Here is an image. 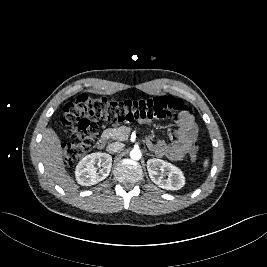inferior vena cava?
<instances>
[{"label": "inferior vena cava", "instance_id": "1", "mask_svg": "<svg viewBox=\"0 0 267 267\" xmlns=\"http://www.w3.org/2000/svg\"><path fill=\"white\" fill-rule=\"evenodd\" d=\"M123 147H124V144L123 143L113 142V143H110L107 146L106 150L109 153H116V152L120 151Z\"/></svg>", "mask_w": 267, "mask_h": 267}]
</instances>
